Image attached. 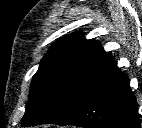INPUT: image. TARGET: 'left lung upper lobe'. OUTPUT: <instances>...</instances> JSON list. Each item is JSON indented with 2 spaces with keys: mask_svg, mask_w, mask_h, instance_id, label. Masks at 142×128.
<instances>
[{
  "mask_svg": "<svg viewBox=\"0 0 142 128\" xmlns=\"http://www.w3.org/2000/svg\"><path fill=\"white\" fill-rule=\"evenodd\" d=\"M114 58L95 40L72 33L46 53L33 76L23 126L52 124L66 117L86 86Z\"/></svg>",
  "mask_w": 142,
  "mask_h": 128,
  "instance_id": "5c2ea615",
  "label": "left lung upper lobe"
}]
</instances>
